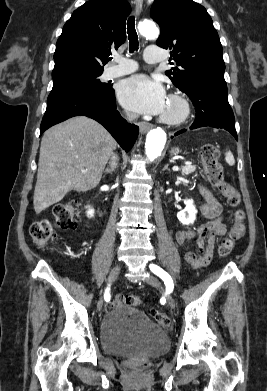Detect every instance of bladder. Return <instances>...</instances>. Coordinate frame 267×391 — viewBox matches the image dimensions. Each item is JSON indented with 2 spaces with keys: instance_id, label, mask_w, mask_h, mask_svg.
<instances>
[{
  "instance_id": "obj_1",
  "label": "bladder",
  "mask_w": 267,
  "mask_h": 391,
  "mask_svg": "<svg viewBox=\"0 0 267 391\" xmlns=\"http://www.w3.org/2000/svg\"><path fill=\"white\" fill-rule=\"evenodd\" d=\"M100 340L106 353L118 356H157L169 348L168 334L139 309L119 305L104 316Z\"/></svg>"
}]
</instances>
